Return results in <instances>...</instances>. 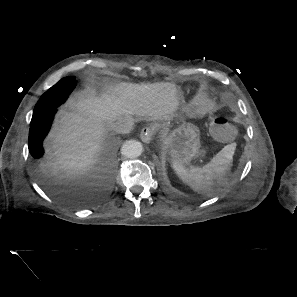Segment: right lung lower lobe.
I'll return each instance as SVG.
<instances>
[{
  "label": "right lung lower lobe",
  "mask_w": 297,
  "mask_h": 297,
  "mask_svg": "<svg viewBox=\"0 0 297 297\" xmlns=\"http://www.w3.org/2000/svg\"><path fill=\"white\" fill-rule=\"evenodd\" d=\"M67 99V98H66ZM66 99L62 100L58 104H56L49 112L43 115L40 118L31 120L30 130H29V151L30 154L33 156L34 159L39 160L44 155L43 149V140L47 136L53 119L54 115L57 112V108L63 104Z\"/></svg>",
  "instance_id": "obj_1"
}]
</instances>
